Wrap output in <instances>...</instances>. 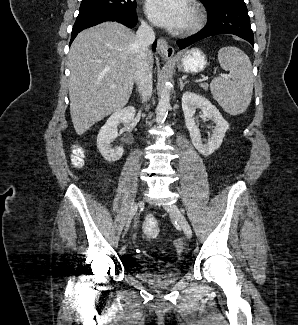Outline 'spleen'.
<instances>
[{"instance_id":"obj_1","label":"spleen","mask_w":298,"mask_h":325,"mask_svg":"<svg viewBox=\"0 0 298 325\" xmlns=\"http://www.w3.org/2000/svg\"><path fill=\"white\" fill-rule=\"evenodd\" d=\"M218 60L224 70H229L231 80L213 78L210 90L213 98L229 114H241L248 108L253 92V72L249 56L237 46H222Z\"/></svg>"}]
</instances>
